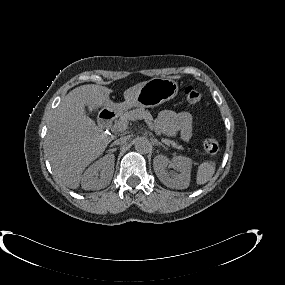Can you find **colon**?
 <instances>
[{"label":"colon","mask_w":285,"mask_h":285,"mask_svg":"<svg viewBox=\"0 0 285 285\" xmlns=\"http://www.w3.org/2000/svg\"><path fill=\"white\" fill-rule=\"evenodd\" d=\"M184 96L186 102L190 106H195L199 104L202 100L201 92L193 86H187L184 89ZM203 147L207 153L214 154L219 150V142L216 137L208 136L203 140Z\"/></svg>","instance_id":"5ec220e1"}]
</instances>
